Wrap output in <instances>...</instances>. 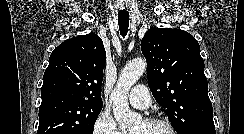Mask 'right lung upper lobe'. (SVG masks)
<instances>
[{
	"mask_svg": "<svg viewBox=\"0 0 244 134\" xmlns=\"http://www.w3.org/2000/svg\"><path fill=\"white\" fill-rule=\"evenodd\" d=\"M105 62L103 42L96 34L65 40L50 55L43 76L42 102L65 99L102 105L101 84Z\"/></svg>",
	"mask_w": 244,
	"mask_h": 134,
	"instance_id": "right-lung-upper-lobe-1",
	"label": "right lung upper lobe"
}]
</instances>
